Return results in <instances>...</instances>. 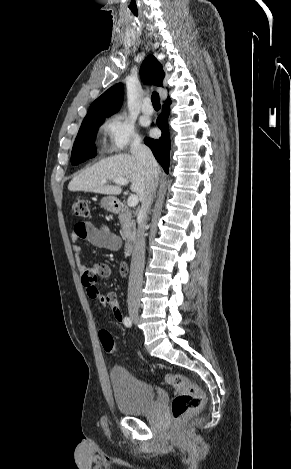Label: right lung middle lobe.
I'll use <instances>...</instances> for the list:
<instances>
[{
    "label": "right lung middle lobe",
    "mask_w": 291,
    "mask_h": 469,
    "mask_svg": "<svg viewBox=\"0 0 291 469\" xmlns=\"http://www.w3.org/2000/svg\"><path fill=\"white\" fill-rule=\"evenodd\" d=\"M105 118L83 120L71 153V163L73 165L80 164L96 156L94 138Z\"/></svg>",
    "instance_id": "right-lung-middle-lobe-1"
}]
</instances>
